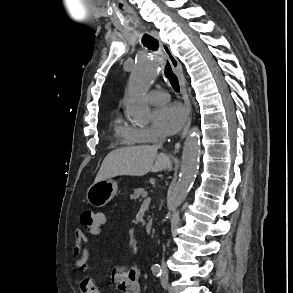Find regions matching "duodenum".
I'll use <instances>...</instances> for the list:
<instances>
[{"label":"duodenum","instance_id":"410a0bca","mask_svg":"<svg viewBox=\"0 0 293 293\" xmlns=\"http://www.w3.org/2000/svg\"><path fill=\"white\" fill-rule=\"evenodd\" d=\"M146 231L147 233H151L153 231V223L151 220L146 223Z\"/></svg>","mask_w":293,"mask_h":293}]
</instances>
